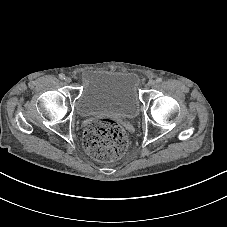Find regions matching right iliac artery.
<instances>
[{"label": "right iliac artery", "instance_id": "82829eb1", "mask_svg": "<svg viewBox=\"0 0 227 227\" xmlns=\"http://www.w3.org/2000/svg\"><path fill=\"white\" fill-rule=\"evenodd\" d=\"M59 78L61 79V80H63V79H65V75L64 74H59Z\"/></svg>", "mask_w": 227, "mask_h": 227}]
</instances>
